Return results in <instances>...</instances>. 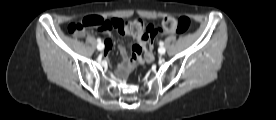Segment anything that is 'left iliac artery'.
I'll list each match as a JSON object with an SVG mask.
<instances>
[{
  "label": "left iliac artery",
  "instance_id": "left-iliac-artery-1",
  "mask_svg": "<svg viewBox=\"0 0 276 120\" xmlns=\"http://www.w3.org/2000/svg\"><path fill=\"white\" fill-rule=\"evenodd\" d=\"M159 45L163 47L164 43L162 41L159 42Z\"/></svg>",
  "mask_w": 276,
  "mask_h": 120
}]
</instances>
